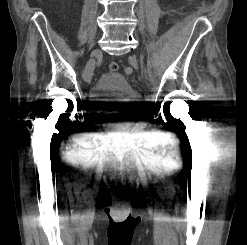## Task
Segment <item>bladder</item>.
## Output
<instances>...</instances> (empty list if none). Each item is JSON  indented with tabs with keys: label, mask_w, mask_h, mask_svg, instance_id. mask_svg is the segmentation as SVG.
<instances>
[{
	"label": "bladder",
	"mask_w": 247,
	"mask_h": 245,
	"mask_svg": "<svg viewBox=\"0 0 247 245\" xmlns=\"http://www.w3.org/2000/svg\"><path fill=\"white\" fill-rule=\"evenodd\" d=\"M137 94L126 78L118 72L100 75L90 90V99L97 109L117 105H133Z\"/></svg>",
	"instance_id": "bladder-1"
}]
</instances>
